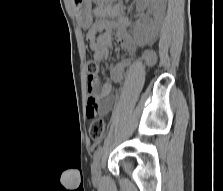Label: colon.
<instances>
[{"label": "colon", "instance_id": "5ec220e1", "mask_svg": "<svg viewBox=\"0 0 223 191\" xmlns=\"http://www.w3.org/2000/svg\"><path fill=\"white\" fill-rule=\"evenodd\" d=\"M87 72H88V77L91 82L95 81L98 73H99V66L98 63L95 60H89L87 62ZM105 129H106V122L102 118H95L91 125H90V137L94 141H100L104 134H105Z\"/></svg>", "mask_w": 223, "mask_h": 191}]
</instances>
